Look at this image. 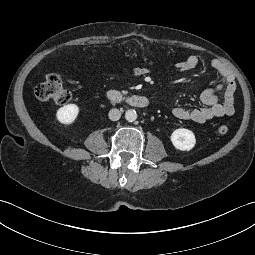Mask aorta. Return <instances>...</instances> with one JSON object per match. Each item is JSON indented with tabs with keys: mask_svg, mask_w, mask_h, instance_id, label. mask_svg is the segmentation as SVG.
I'll use <instances>...</instances> for the list:
<instances>
[{
	"mask_svg": "<svg viewBox=\"0 0 255 255\" xmlns=\"http://www.w3.org/2000/svg\"><path fill=\"white\" fill-rule=\"evenodd\" d=\"M125 118L128 122H134L137 119V113L133 109H129L125 113Z\"/></svg>",
	"mask_w": 255,
	"mask_h": 255,
	"instance_id": "aorta-1",
	"label": "aorta"
}]
</instances>
